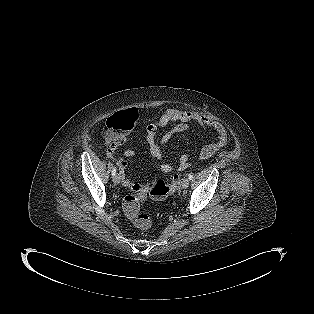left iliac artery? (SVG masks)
Masks as SVG:
<instances>
[{"label": "left iliac artery", "instance_id": "left-iliac-artery-1", "mask_svg": "<svg viewBox=\"0 0 314 314\" xmlns=\"http://www.w3.org/2000/svg\"><path fill=\"white\" fill-rule=\"evenodd\" d=\"M188 179H189V180H192V179H193V174H192V173H190V174L188 175Z\"/></svg>", "mask_w": 314, "mask_h": 314}]
</instances>
